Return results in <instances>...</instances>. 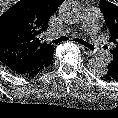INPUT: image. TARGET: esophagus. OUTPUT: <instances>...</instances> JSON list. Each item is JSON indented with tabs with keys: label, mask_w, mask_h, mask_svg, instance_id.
Here are the masks:
<instances>
[{
	"label": "esophagus",
	"mask_w": 118,
	"mask_h": 118,
	"mask_svg": "<svg viewBox=\"0 0 118 118\" xmlns=\"http://www.w3.org/2000/svg\"><path fill=\"white\" fill-rule=\"evenodd\" d=\"M79 45V44H78ZM80 49L83 51L84 54L88 55V56H93L94 53L87 47L79 45Z\"/></svg>",
	"instance_id": "34e87169"
}]
</instances>
